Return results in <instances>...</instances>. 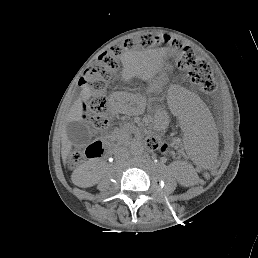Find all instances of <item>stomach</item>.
I'll list each match as a JSON object with an SVG mask.
<instances>
[{
	"mask_svg": "<svg viewBox=\"0 0 258 258\" xmlns=\"http://www.w3.org/2000/svg\"><path fill=\"white\" fill-rule=\"evenodd\" d=\"M122 99L127 100V99H128V96H127V95H123V96H122Z\"/></svg>",
	"mask_w": 258,
	"mask_h": 258,
	"instance_id": "1",
	"label": "stomach"
}]
</instances>
